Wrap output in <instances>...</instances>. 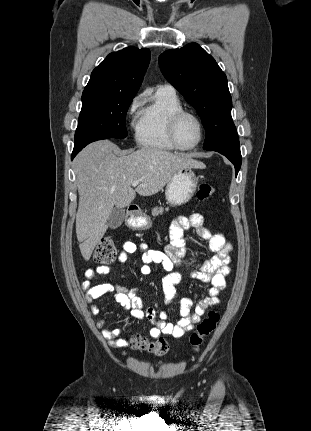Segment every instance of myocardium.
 <instances>
[{
  "label": "myocardium",
  "instance_id": "f54148a6",
  "mask_svg": "<svg viewBox=\"0 0 311 431\" xmlns=\"http://www.w3.org/2000/svg\"><path fill=\"white\" fill-rule=\"evenodd\" d=\"M188 115L194 116L198 120L200 127H201V135H200L198 141L194 145L187 147V146H183L179 141L178 126H179L181 119L185 116H188ZM206 133H207V127H206L204 119L198 113H196L192 110L182 109V110L174 113L171 116L170 123H169V135H170V139L173 142L174 146L179 150L188 151V150L195 149L196 147H198L202 143L203 138L206 135Z\"/></svg>",
  "mask_w": 311,
  "mask_h": 431
}]
</instances>
